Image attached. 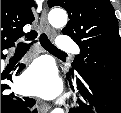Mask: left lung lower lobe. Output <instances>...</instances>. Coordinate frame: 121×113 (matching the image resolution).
Returning <instances> with one entry per match:
<instances>
[{"label": "left lung lower lobe", "mask_w": 121, "mask_h": 113, "mask_svg": "<svg viewBox=\"0 0 121 113\" xmlns=\"http://www.w3.org/2000/svg\"><path fill=\"white\" fill-rule=\"evenodd\" d=\"M71 89L77 93L84 102L78 99L79 107L73 108L69 113H121V92L114 89L105 81L88 75L80 79L68 76Z\"/></svg>", "instance_id": "obj_1"}]
</instances>
